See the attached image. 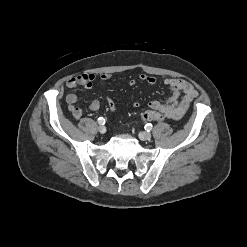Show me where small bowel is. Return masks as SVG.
<instances>
[{
    "instance_id": "c3829d8e",
    "label": "small bowel",
    "mask_w": 247,
    "mask_h": 247,
    "mask_svg": "<svg viewBox=\"0 0 247 247\" xmlns=\"http://www.w3.org/2000/svg\"><path fill=\"white\" fill-rule=\"evenodd\" d=\"M98 77L101 80H108L112 77V75L101 74L96 76L95 74H79L69 78L66 81V86L69 89H75L80 86L85 87L86 89H91ZM139 80L150 85H155L157 83V79L155 77L147 74L139 75ZM136 84V79H131L129 81L130 86H134ZM164 84L172 90V96L166 101H151L149 106L151 109L161 112L167 118L174 120L181 119L187 112L190 103L197 96V91L191 83L180 78H166L164 80ZM77 99V95L74 92H69L65 96L68 110L71 116L76 120L80 119L83 115V110L76 106ZM107 103L111 111L117 110V106L112 99L108 98ZM133 106L139 107L140 103L134 102ZM99 108L100 102L97 99L92 100L88 105V109L90 111H97Z\"/></svg>"
}]
</instances>
